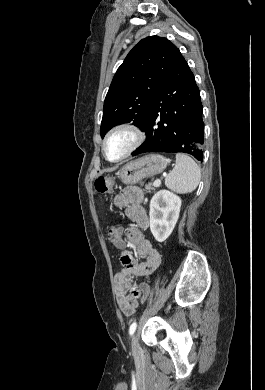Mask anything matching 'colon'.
<instances>
[{
	"instance_id": "1",
	"label": "colon",
	"mask_w": 265,
	"mask_h": 390,
	"mask_svg": "<svg viewBox=\"0 0 265 390\" xmlns=\"http://www.w3.org/2000/svg\"><path fill=\"white\" fill-rule=\"evenodd\" d=\"M113 179L111 177H107V176H101V177H98L96 180H95V189L98 193L100 194H107L111 191L112 187H113ZM107 236H108V239L113 242V243H116L117 240H118V230L116 227H110L107 231ZM149 295V287L147 284H141V287H140V291H139V296H140V300L142 302H145L147 297Z\"/></svg>"
}]
</instances>
